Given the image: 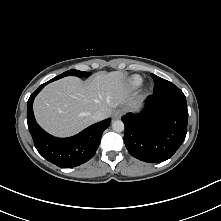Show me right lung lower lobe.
Segmentation results:
<instances>
[{
	"instance_id": "right-lung-lower-lobe-1",
	"label": "right lung lower lobe",
	"mask_w": 221,
	"mask_h": 221,
	"mask_svg": "<svg viewBox=\"0 0 221 221\" xmlns=\"http://www.w3.org/2000/svg\"><path fill=\"white\" fill-rule=\"evenodd\" d=\"M48 83L42 84L27 102V123L34 145L41 156L58 167L79 166L94 156L102 133L110 125L111 119L93 124L73 137L56 138L49 135L36 123L32 109L35 96Z\"/></svg>"
}]
</instances>
